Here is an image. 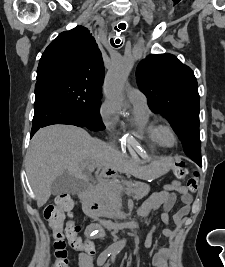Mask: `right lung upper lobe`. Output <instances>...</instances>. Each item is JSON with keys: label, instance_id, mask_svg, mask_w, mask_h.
<instances>
[{"label": "right lung upper lobe", "instance_id": "right-lung-upper-lobe-1", "mask_svg": "<svg viewBox=\"0 0 225 267\" xmlns=\"http://www.w3.org/2000/svg\"><path fill=\"white\" fill-rule=\"evenodd\" d=\"M48 76L81 80L102 90V54L87 28L62 32L49 44L39 61L37 80Z\"/></svg>", "mask_w": 225, "mask_h": 267}]
</instances>
